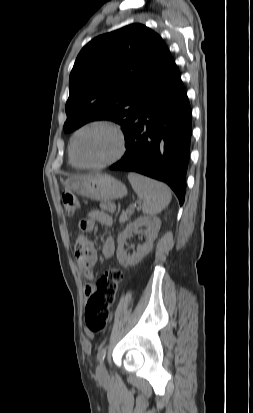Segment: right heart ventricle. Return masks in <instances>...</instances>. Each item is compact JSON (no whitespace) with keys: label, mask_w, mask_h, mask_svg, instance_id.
Returning <instances> with one entry per match:
<instances>
[{"label":"right heart ventricle","mask_w":253,"mask_h":413,"mask_svg":"<svg viewBox=\"0 0 253 413\" xmlns=\"http://www.w3.org/2000/svg\"><path fill=\"white\" fill-rule=\"evenodd\" d=\"M70 163H71L73 166H76V165L72 162L71 158H70Z\"/></svg>","instance_id":"e07e8e85"}]
</instances>
